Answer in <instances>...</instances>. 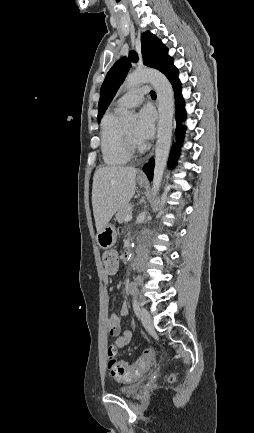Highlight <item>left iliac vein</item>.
<instances>
[{
  "label": "left iliac vein",
  "mask_w": 254,
  "mask_h": 433,
  "mask_svg": "<svg viewBox=\"0 0 254 433\" xmlns=\"http://www.w3.org/2000/svg\"><path fill=\"white\" fill-rule=\"evenodd\" d=\"M141 322L146 329L153 328L152 318L145 308L141 309Z\"/></svg>",
  "instance_id": "obj_1"
}]
</instances>
